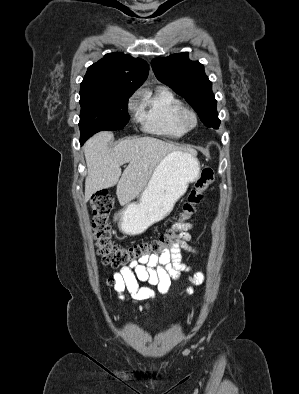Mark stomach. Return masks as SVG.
<instances>
[{"instance_id": "obj_1", "label": "stomach", "mask_w": 299, "mask_h": 394, "mask_svg": "<svg viewBox=\"0 0 299 394\" xmlns=\"http://www.w3.org/2000/svg\"><path fill=\"white\" fill-rule=\"evenodd\" d=\"M199 172L200 164L193 153L176 150L167 154L157 165L139 200L122 210L120 230L127 235H138L164 219Z\"/></svg>"}]
</instances>
